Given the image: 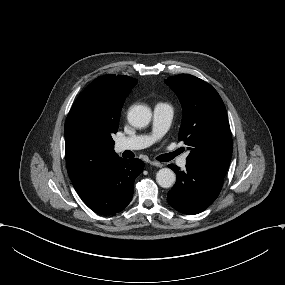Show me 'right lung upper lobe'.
Wrapping results in <instances>:
<instances>
[{"mask_svg":"<svg viewBox=\"0 0 285 285\" xmlns=\"http://www.w3.org/2000/svg\"><path fill=\"white\" fill-rule=\"evenodd\" d=\"M137 80L108 74L92 81L79 95L68 116L79 127L94 132L88 138L65 136L66 165L73 186L81 194L119 157L108 128L119 123L125 97Z\"/></svg>","mask_w":285,"mask_h":285,"instance_id":"right-lung-upper-lobe-1","label":"right lung upper lobe"}]
</instances>
